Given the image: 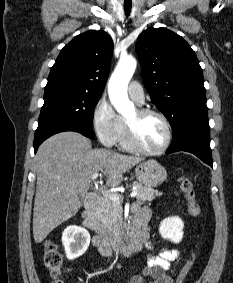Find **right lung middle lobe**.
Instances as JSON below:
<instances>
[{
	"mask_svg": "<svg viewBox=\"0 0 233 283\" xmlns=\"http://www.w3.org/2000/svg\"><path fill=\"white\" fill-rule=\"evenodd\" d=\"M100 97V93L46 85L38 126L52 122H69L92 129L94 108Z\"/></svg>",
	"mask_w": 233,
	"mask_h": 283,
	"instance_id": "right-lung-middle-lobe-1",
	"label": "right lung middle lobe"
}]
</instances>
